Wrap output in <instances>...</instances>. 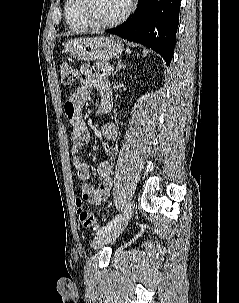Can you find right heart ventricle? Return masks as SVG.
Listing matches in <instances>:
<instances>
[{"label": "right heart ventricle", "mask_w": 239, "mask_h": 303, "mask_svg": "<svg viewBox=\"0 0 239 303\" xmlns=\"http://www.w3.org/2000/svg\"><path fill=\"white\" fill-rule=\"evenodd\" d=\"M81 0H66L64 4V16L68 26L75 31L87 30L90 26L81 18L79 12Z\"/></svg>", "instance_id": "e07e8e85"}]
</instances>
